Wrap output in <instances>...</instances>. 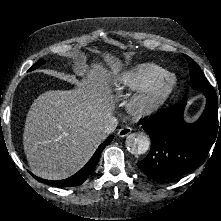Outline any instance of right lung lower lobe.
Returning <instances> with one entry per match:
<instances>
[{"instance_id":"obj_1","label":"right lung lower lobe","mask_w":221,"mask_h":221,"mask_svg":"<svg viewBox=\"0 0 221 221\" xmlns=\"http://www.w3.org/2000/svg\"><path fill=\"white\" fill-rule=\"evenodd\" d=\"M113 138H114L113 136H109L107 140L98 147V149L96 150L94 155L91 157V159L87 162V164L82 169H80L77 173H75L69 178H66L63 180H57V181H53V180L50 181V180L41 179L33 174L32 175L39 182L48 184L50 186H55L59 188L78 186L82 184L88 178V176L93 172V170L95 169L98 163L101 152L112 141Z\"/></svg>"}]
</instances>
